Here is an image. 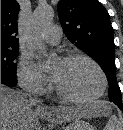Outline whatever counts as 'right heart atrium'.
I'll return each mask as SVG.
<instances>
[{
    "mask_svg": "<svg viewBox=\"0 0 123 130\" xmlns=\"http://www.w3.org/2000/svg\"><path fill=\"white\" fill-rule=\"evenodd\" d=\"M17 77L20 86L31 94L41 95L48 89V79L38 69L33 59L24 55L17 68Z\"/></svg>",
    "mask_w": 123,
    "mask_h": 130,
    "instance_id": "obj_1",
    "label": "right heart atrium"
}]
</instances>
